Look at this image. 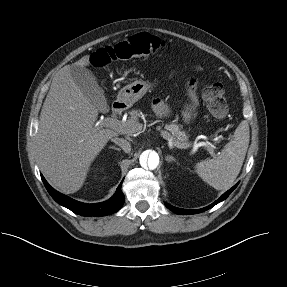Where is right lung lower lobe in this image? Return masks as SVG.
<instances>
[{
    "mask_svg": "<svg viewBox=\"0 0 287 287\" xmlns=\"http://www.w3.org/2000/svg\"><path fill=\"white\" fill-rule=\"evenodd\" d=\"M41 178L47 191L57 203L82 216L98 217L112 214L118 211L125 201L124 194L121 191L122 183L118 186L116 193L109 200L102 203L86 204L59 193L47 183L42 175Z\"/></svg>",
    "mask_w": 287,
    "mask_h": 287,
    "instance_id": "98d812e1",
    "label": "right lung lower lobe"
}]
</instances>
